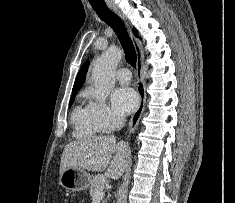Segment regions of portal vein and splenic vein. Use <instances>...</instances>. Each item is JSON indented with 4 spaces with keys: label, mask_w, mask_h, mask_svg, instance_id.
Wrapping results in <instances>:
<instances>
[{
    "label": "portal vein and splenic vein",
    "mask_w": 235,
    "mask_h": 203,
    "mask_svg": "<svg viewBox=\"0 0 235 203\" xmlns=\"http://www.w3.org/2000/svg\"><path fill=\"white\" fill-rule=\"evenodd\" d=\"M105 195V192L103 190H98L93 196V200H101Z\"/></svg>",
    "instance_id": "1"
}]
</instances>
